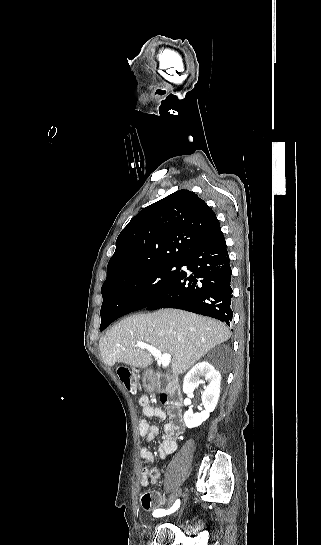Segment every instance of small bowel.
Segmentation results:
<instances>
[{
    "instance_id": "c3829d8e",
    "label": "small bowel",
    "mask_w": 321,
    "mask_h": 545,
    "mask_svg": "<svg viewBox=\"0 0 321 545\" xmlns=\"http://www.w3.org/2000/svg\"><path fill=\"white\" fill-rule=\"evenodd\" d=\"M139 404L142 407V413L145 417H156L162 420L166 419V413L161 408L154 406L152 401L147 396H141L139 398ZM170 416L176 418V411L170 410ZM181 432L182 427L175 422H169L164 425L163 436L158 446V455L161 458H165L177 450V439ZM158 433L159 428L157 426L149 424L146 419L140 420L139 434L145 439L146 442H151ZM140 454L149 465H152L155 462V456L148 447L143 446ZM161 475V469L146 466L141 471L140 485L146 487L149 483H156L160 479Z\"/></svg>"
}]
</instances>
